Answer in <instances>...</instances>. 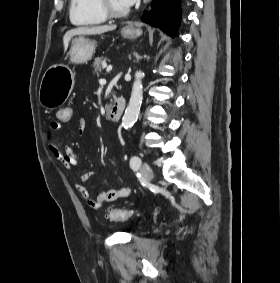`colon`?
Wrapping results in <instances>:
<instances>
[{"mask_svg":"<svg viewBox=\"0 0 280 283\" xmlns=\"http://www.w3.org/2000/svg\"><path fill=\"white\" fill-rule=\"evenodd\" d=\"M59 122H72L73 107L72 105H61L56 112ZM131 212L127 209L117 208L111 209L107 215L111 221H123L131 216Z\"/></svg>","mask_w":280,"mask_h":283,"instance_id":"5ec220e1","label":"colon"}]
</instances>
